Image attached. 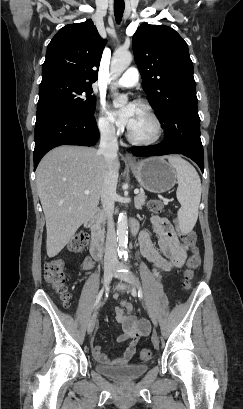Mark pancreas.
<instances>
[{
    "instance_id": "cf45deb5",
    "label": "pancreas",
    "mask_w": 243,
    "mask_h": 409,
    "mask_svg": "<svg viewBox=\"0 0 243 409\" xmlns=\"http://www.w3.org/2000/svg\"><path fill=\"white\" fill-rule=\"evenodd\" d=\"M147 196L146 194L141 191L134 199L135 208L141 210L142 207L146 204ZM100 224H104V218L101 217L99 220ZM99 232L101 236L104 234V228L100 227Z\"/></svg>"
}]
</instances>
